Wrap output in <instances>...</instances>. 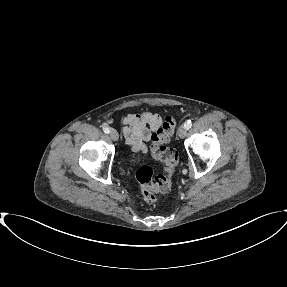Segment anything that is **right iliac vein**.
<instances>
[{"instance_id":"63e3f726","label":"right iliac vein","mask_w":287,"mask_h":287,"mask_svg":"<svg viewBox=\"0 0 287 287\" xmlns=\"http://www.w3.org/2000/svg\"><path fill=\"white\" fill-rule=\"evenodd\" d=\"M110 137L113 141H117L119 138L118 132L115 129L110 130Z\"/></svg>"}]
</instances>
